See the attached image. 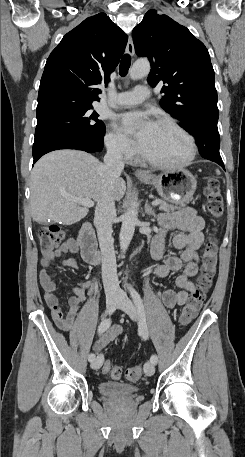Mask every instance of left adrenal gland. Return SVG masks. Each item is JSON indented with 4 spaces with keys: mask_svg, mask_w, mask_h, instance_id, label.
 <instances>
[{
    "mask_svg": "<svg viewBox=\"0 0 245 457\" xmlns=\"http://www.w3.org/2000/svg\"><path fill=\"white\" fill-rule=\"evenodd\" d=\"M145 212H147V214H152L153 218H156V212L153 210L152 206H150L148 200H146Z\"/></svg>",
    "mask_w": 245,
    "mask_h": 457,
    "instance_id": "1",
    "label": "left adrenal gland"
}]
</instances>
